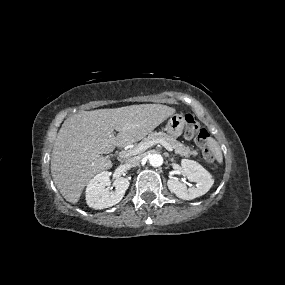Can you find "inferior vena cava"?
Returning <instances> with one entry per match:
<instances>
[{
	"label": "inferior vena cava",
	"mask_w": 285,
	"mask_h": 285,
	"mask_svg": "<svg viewBox=\"0 0 285 285\" xmlns=\"http://www.w3.org/2000/svg\"><path fill=\"white\" fill-rule=\"evenodd\" d=\"M141 163V157L140 156H135L130 159H128V165L130 167H136Z\"/></svg>",
	"instance_id": "obj_1"
}]
</instances>
